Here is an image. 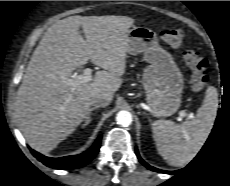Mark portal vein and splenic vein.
<instances>
[{"mask_svg":"<svg viewBox=\"0 0 230 186\" xmlns=\"http://www.w3.org/2000/svg\"><path fill=\"white\" fill-rule=\"evenodd\" d=\"M91 74H92V70L90 68H85L83 71V74L71 76L70 79L66 80V83L72 88H75L81 83L90 82L92 80ZM184 117L191 119L194 116H193V113H186L185 111H180L178 121H182Z\"/></svg>","mask_w":230,"mask_h":186,"instance_id":"obj_1","label":"portal vein and splenic vein"}]
</instances>
